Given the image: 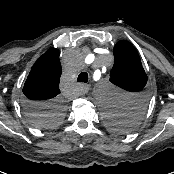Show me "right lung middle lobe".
Wrapping results in <instances>:
<instances>
[{"mask_svg":"<svg viewBox=\"0 0 174 174\" xmlns=\"http://www.w3.org/2000/svg\"><path fill=\"white\" fill-rule=\"evenodd\" d=\"M64 110L62 100L41 106L25 105V111L31 123L39 128H50L57 125L64 117Z\"/></svg>","mask_w":174,"mask_h":174,"instance_id":"1","label":"right lung middle lobe"}]
</instances>
